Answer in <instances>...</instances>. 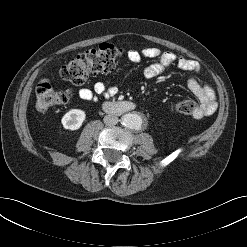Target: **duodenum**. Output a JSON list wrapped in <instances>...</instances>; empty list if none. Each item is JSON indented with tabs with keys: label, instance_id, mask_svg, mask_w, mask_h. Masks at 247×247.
<instances>
[{
	"label": "duodenum",
	"instance_id": "duodenum-1",
	"mask_svg": "<svg viewBox=\"0 0 247 247\" xmlns=\"http://www.w3.org/2000/svg\"><path fill=\"white\" fill-rule=\"evenodd\" d=\"M103 107L109 113L115 115H121L124 113L132 112L136 109V104L131 101H107L103 104Z\"/></svg>",
	"mask_w": 247,
	"mask_h": 247
}]
</instances>
